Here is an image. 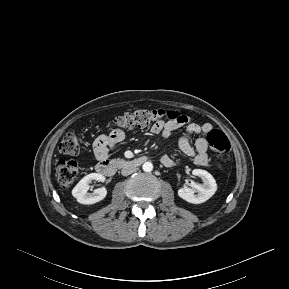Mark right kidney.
<instances>
[{
  "instance_id": "obj_1",
  "label": "right kidney",
  "mask_w": 289,
  "mask_h": 289,
  "mask_svg": "<svg viewBox=\"0 0 289 289\" xmlns=\"http://www.w3.org/2000/svg\"><path fill=\"white\" fill-rule=\"evenodd\" d=\"M92 180L105 181V177L98 173H90L83 177L72 190V195L80 204L90 205L103 200L107 195L106 188H98L93 193H88Z\"/></svg>"
}]
</instances>
